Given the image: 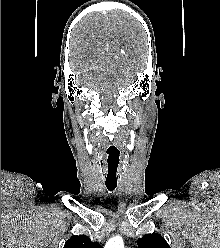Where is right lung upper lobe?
<instances>
[{
  "label": "right lung upper lobe",
  "mask_w": 220,
  "mask_h": 248,
  "mask_svg": "<svg viewBox=\"0 0 220 248\" xmlns=\"http://www.w3.org/2000/svg\"><path fill=\"white\" fill-rule=\"evenodd\" d=\"M63 248H101L98 242H92L87 236H73L66 241Z\"/></svg>",
  "instance_id": "cb5924a9"
}]
</instances>
